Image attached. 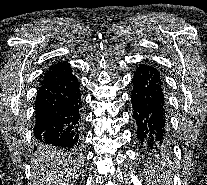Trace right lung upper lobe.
Returning <instances> with one entry per match:
<instances>
[{
  "instance_id": "obj_1",
  "label": "right lung upper lobe",
  "mask_w": 207,
  "mask_h": 185,
  "mask_svg": "<svg viewBox=\"0 0 207 185\" xmlns=\"http://www.w3.org/2000/svg\"><path fill=\"white\" fill-rule=\"evenodd\" d=\"M71 74V68L69 64L60 62L58 64L54 63L53 66L45 73L42 83H46L52 79L60 78Z\"/></svg>"
}]
</instances>
